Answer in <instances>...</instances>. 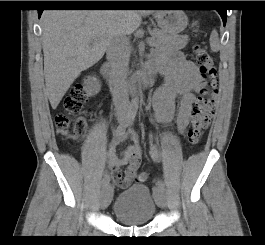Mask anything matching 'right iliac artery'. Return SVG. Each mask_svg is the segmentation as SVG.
<instances>
[{"label":"right iliac artery","mask_w":265,"mask_h":245,"mask_svg":"<svg viewBox=\"0 0 265 245\" xmlns=\"http://www.w3.org/2000/svg\"><path fill=\"white\" fill-rule=\"evenodd\" d=\"M137 109L138 106L135 103H132L129 106L125 119L113 131L114 137L122 136L125 133L126 127L134 121L137 114ZM108 184H109V178L107 176H104L102 179V187L104 188Z\"/></svg>","instance_id":"82829eb1"}]
</instances>
